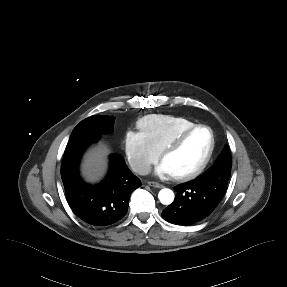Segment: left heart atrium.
<instances>
[{
	"instance_id": "obj_1",
	"label": "left heart atrium",
	"mask_w": 287,
	"mask_h": 287,
	"mask_svg": "<svg viewBox=\"0 0 287 287\" xmlns=\"http://www.w3.org/2000/svg\"><path fill=\"white\" fill-rule=\"evenodd\" d=\"M155 173L161 176L170 175L165 164L163 162L159 163L155 168Z\"/></svg>"
}]
</instances>
